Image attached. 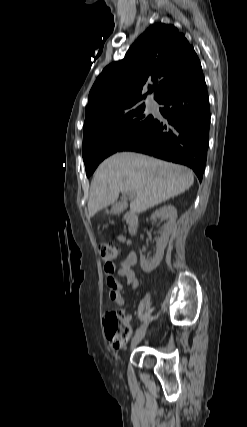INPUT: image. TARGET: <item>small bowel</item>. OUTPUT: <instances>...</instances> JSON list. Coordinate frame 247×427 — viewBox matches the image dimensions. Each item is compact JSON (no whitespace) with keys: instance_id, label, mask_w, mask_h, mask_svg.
Masks as SVG:
<instances>
[{"instance_id":"obj_1","label":"small bowel","mask_w":247,"mask_h":427,"mask_svg":"<svg viewBox=\"0 0 247 427\" xmlns=\"http://www.w3.org/2000/svg\"><path fill=\"white\" fill-rule=\"evenodd\" d=\"M121 242L128 243L125 238L119 237ZM137 263V255L134 251H130L125 259L120 263V266L117 267L115 263H106L104 266L105 274L107 275V285L109 288L110 299L118 306H122L125 303V298L123 295L124 286L117 280L115 273L126 279L127 284L131 287L132 290H135L139 285V279L136 272L133 270V267ZM127 322L132 320L131 315L125 317Z\"/></svg>"}]
</instances>
